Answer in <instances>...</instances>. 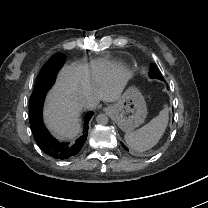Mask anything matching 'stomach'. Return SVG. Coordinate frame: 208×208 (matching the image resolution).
I'll use <instances>...</instances> for the list:
<instances>
[{"label":"stomach","mask_w":208,"mask_h":208,"mask_svg":"<svg viewBox=\"0 0 208 208\" xmlns=\"http://www.w3.org/2000/svg\"><path fill=\"white\" fill-rule=\"evenodd\" d=\"M118 127L129 133L142 124L147 115L144 97L134 87H129L118 99L117 103L106 108Z\"/></svg>","instance_id":"obj_1"}]
</instances>
